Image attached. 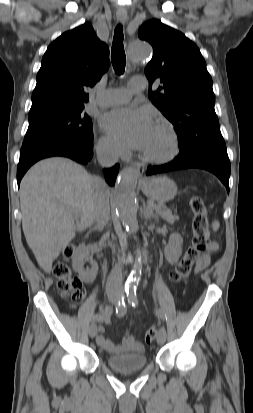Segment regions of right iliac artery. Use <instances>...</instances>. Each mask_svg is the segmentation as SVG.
Returning <instances> with one entry per match:
<instances>
[{
  "label": "right iliac artery",
  "mask_w": 253,
  "mask_h": 413,
  "mask_svg": "<svg viewBox=\"0 0 253 413\" xmlns=\"http://www.w3.org/2000/svg\"><path fill=\"white\" fill-rule=\"evenodd\" d=\"M115 312L117 314V316L122 317L126 314L127 312V307L125 305L124 302V294H122L119 298V301L115 307ZM103 319V314H96L95 316H93L92 318V322H96Z\"/></svg>",
  "instance_id": "1"
}]
</instances>
